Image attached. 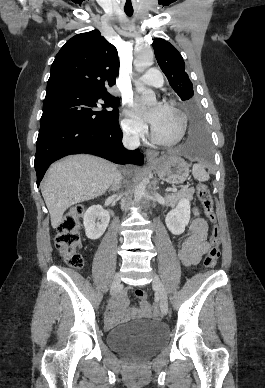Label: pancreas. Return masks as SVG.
I'll list each match as a JSON object with an SVG mask.
<instances>
[{
	"label": "pancreas",
	"instance_id": "cf45deb5",
	"mask_svg": "<svg viewBox=\"0 0 265 388\" xmlns=\"http://www.w3.org/2000/svg\"><path fill=\"white\" fill-rule=\"evenodd\" d=\"M194 192V188H186V190H180V192H175V194H166V204L167 206H174L180 198H189L191 200Z\"/></svg>",
	"mask_w": 265,
	"mask_h": 388
}]
</instances>
